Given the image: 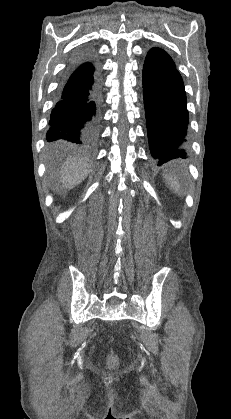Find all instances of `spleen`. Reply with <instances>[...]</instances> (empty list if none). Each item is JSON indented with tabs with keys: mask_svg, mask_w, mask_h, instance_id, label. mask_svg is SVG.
<instances>
[{
	"mask_svg": "<svg viewBox=\"0 0 231 419\" xmlns=\"http://www.w3.org/2000/svg\"><path fill=\"white\" fill-rule=\"evenodd\" d=\"M170 187L173 189L174 192H179L180 185L178 180H176L173 176H166Z\"/></svg>",
	"mask_w": 231,
	"mask_h": 419,
	"instance_id": "obj_1",
	"label": "spleen"
}]
</instances>
